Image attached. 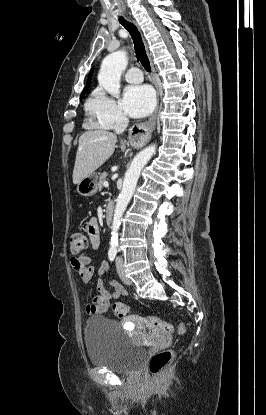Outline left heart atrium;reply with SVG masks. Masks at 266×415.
<instances>
[{"label": "left heart atrium", "instance_id": "obj_1", "mask_svg": "<svg viewBox=\"0 0 266 415\" xmlns=\"http://www.w3.org/2000/svg\"><path fill=\"white\" fill-rule=\"evenodd\" d=\"M155 96L147 85L129 86L125 89L122 106L134 118L148 115L154 108Z\"/></svg>", "mask_w": 266, "mask_h": 415}]
</instances>
